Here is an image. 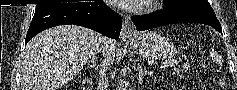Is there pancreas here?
Wrapping results in <instances>:
<instances>
[{"label": "pancreas", "instance_id": "cf45deb5", "mask_svg": "<svg viewBox=\"0 0 237 90\" xmlns=\"http://www.w3.org/2000/svg\"><path fill=\"white\" fill-rule=\"evenodd\" d=\"M184 69H189V64H182L181 71H184Z\"/></svg>", "mask_w": 237, "mask_h": 90}]
</instances>
